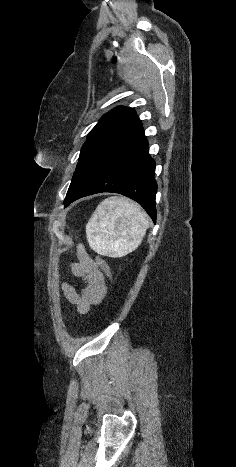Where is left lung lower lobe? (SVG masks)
Here are the masks:
<instances>
[{"instance_id":"left-lung-lower-lobe-1","label":"left lung lower lobe","mask_w":236,"mask_h":467,"mask_svg":"<svg viewBox=\"0 0 236 467\" xmlns=\"http://www.w3.org/2000/svg\"><path fill=\"white\" fill-rule=\"evenodd\" d=\"M155 165L139 122L108 148L87 180L64 204L96 193L114 192L138 202L156 222Z\"/></svg>"}]
</instances>
